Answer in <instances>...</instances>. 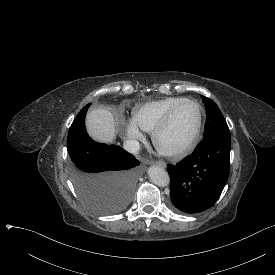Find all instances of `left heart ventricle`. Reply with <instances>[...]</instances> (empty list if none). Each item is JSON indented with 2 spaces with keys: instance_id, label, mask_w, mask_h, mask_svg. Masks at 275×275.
I'll return each mask as SVG.
<instances>
[{
  "instance_id": "b2bd125f",
  "label": "left heart ventricle",
  "mask_w": 275,
  "mask_h": 275,
  "mask_svg": "<svg viewBox=\"0 0 275 275\" xmlns=\"http://www.w3.org/2000/svg\"><path fill=\"white\" fill-rule=\"evenodd\" d=\"M197 118V111L193 104L185 103L178 107L173 115L171 125L160 142L166 147L181 144L191 133Z\"/></svg>"
}]
</instances>
